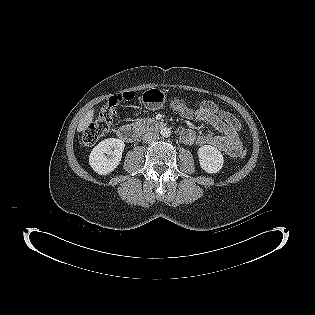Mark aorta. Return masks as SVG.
<instances>
[{
  "instance_id": "aorta-1",
  "label": "aorta",
  "mask_w": 315,
  "mask_h": 315,
  "mask_svg": "<svg viewBox=\"0 0 315 315\" xmlns=\"http://www.w3.org/2000/svg\"><path fill=\"white\" fill-rule=\"evenodd\" d=\"M160 134H161L162 137L168 138V137H170V135H171V131H170L169 128H166V127H165V128H162V129H161Z\"/></svg>"
}]
</instances>
